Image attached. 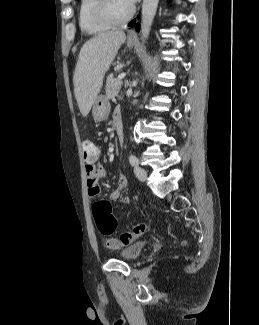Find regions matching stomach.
I'll list each match as a JSON object with an SVG mask.
<instances>
[{
  "label": "stomach",
  "mask_w": 259,
  "mask_h": 325,
  "mask_svg": "<svg viewBox=\"0 0 259 325\" xmlns=\"http://www.w3.org/2000/svg\"><path fill=\"white\" fill-rule=\"evenodd\" d=\"M134 41L127 40V46L133 47ZM110 112V103L109 100L105 96H98L92 108V115L95 121H103L107 119Z\"/></svg>",
  "instance_id": "0dacf381"
}]
</instances>
